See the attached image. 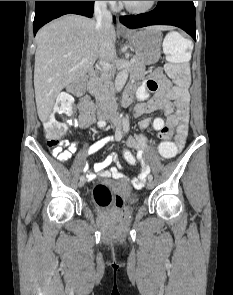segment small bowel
Wrapping results in <instances>:
<instances>
[{
    "instance_id": "small-bowel-1",
    "label": "small bowel",
    "mask_w": 233,
    "mask_h": 295,
    "mask_svg": "<svg viewBox=\"0 0 233 295\" xmlns=\"http://www.w3.org/2000/svg\"><path fill=\"white\" fill-rule=\"evenodd\" d=\"M153 94L149 97V94ZM139 103L135 108V116H143L156 111H161L166 119L155 118L152 121L154 130L160 131L169 127L171 130L176 129L174 137L175 144L178 149H181L186 141L188 130V91L176 95L171 87L169 80L163 74L161 69H156L151 76L139 87L137 91ZM79 117L72 121L73 126L80 128H87L95 122L93 113V105L87 96H84L79 102ZM150 124L149 118H144L139 123L140 133L136 134L127 140V145L137 151L136 159L140 165V173L138 178L133 179V183L138 185L142 184L150 172L149 166L145 163V156L143 150L146 148V138L142 133ZM100 128L105 126V121L98 122ZM110 138L108 136L102 137L90 146L87 151V156H91L101 148H103ZM65 149L56 146L52 149V155L61 162H68L72 155L77 151V142H66ZM83 170L89 172L87 175L89 180L95 177L113 178L116 180L124 179L125 176L121 171L119 157L115 152H111L102 161L96 162L92 169L88 163H84Z\"/></svg>"
}]
</instances>
